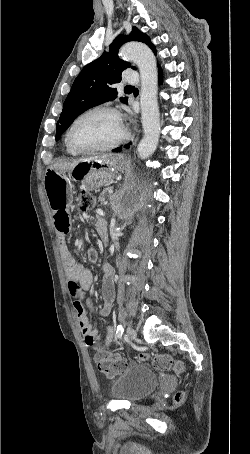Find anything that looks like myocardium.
<instances>
[{"label":"myocardium","mask_w":250,"mask_h":454,"mask_svg":"<svg viewBox=\"0 0 250 454\" xmlns=\"http://www.w3.org/2000/svg\"><path fill=\"white\" fill-rule=\"evenodd\" d=\"M96 112H109V113L115 114L121 122L122 133L118 138H116L114 141H112L111 143H109L107 145L93 147V148H80L73 142V139H72L73 131H74L76 125L83 118H85L86 116H88L90 114L96 113ZM128 137H129V131H128L126 125L124 124V121H123L122 116L119 113V111L116 108L111 107V106L99 105V106H95V107H92V108L84 111L73 121V123L71 124V126L68 130V133H67V142H68L69 147L76 153L91 154V153L112 150V149L118 147L119 145H121L124 141H126L128 139Z\"/></svg>","instance_id":"obj_1"}]
</instances>
